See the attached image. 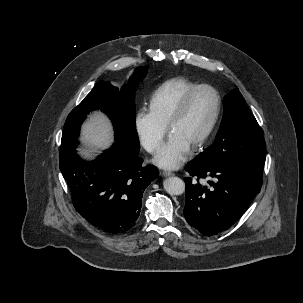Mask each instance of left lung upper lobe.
<instances>
[{"instance_id": "left-lung-upper-lobe-1", "label": "left lung upper lobe", "mask_w": 303, "mask_h": 303, "mask_svg": "<svg viewBox=\"0 0 303 303\" xmlns=\"http://www.w3.org/2000/svg\"><path fill=\"white\" fill-rule=\"evenodd\" d=\"M198 160L227 164L262 178L265 140L241 93L224 98V115L215 142Z\"/></svg>"}]
</instances>
